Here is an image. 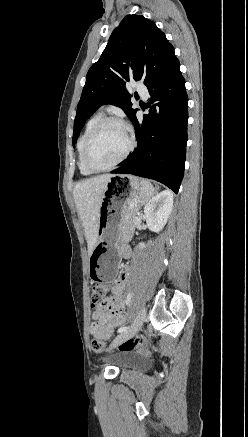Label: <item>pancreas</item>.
Wrapping results in <instances>:
<instances>
[{
    "instance_id": "cf45deb5",
    "label": "pancreas",
    "mask_w": 248,
    "mask_h": 437,
    "mask_svg": "<svg viewBox=\"0 0 248 437\" xmlns=\"http://www.w3.org/2000/svg\"><path fill=\"white\" fill-rule=\"evenodd\" d=\"M132 202H129L125 207L123 211L122 216V224H123V230L126 233H133L134 231V222L135 218L138 214V205L131 206Z\"/></svg>"
}]
</instances>
